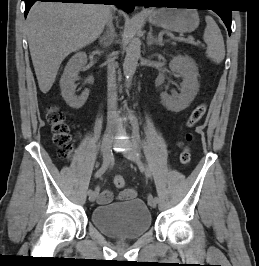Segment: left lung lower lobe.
<instances>
[{
    "label": "left lung lower lobe",
    "mask_w": 259,
    "mask_h": 266,
    "mask_svg": "<svg viewBox=\"0 0 259 266\" xmlns=\"http://www.w3.org/2000/svg\"><path fill=\"white\" fill-rule=\"evenodd\" d=\"M198 3V2H197ZM192 4L191 0H144L142 2V6L145 7H171L175 5H186ZM216 13L219 14L223 22L225 23L229 35L231 34V21H232V14L229 9H213Z\"/></svg>",
    "instance_id": "left-lung-lower-lobe-1"
}]
</instances>
